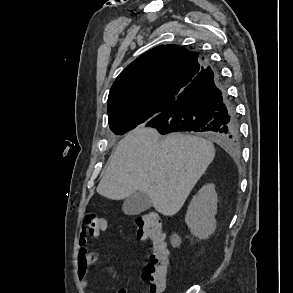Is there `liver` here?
<instances>
[{
  "mask_svg": "<svg viewBox=\"0 0 293 293\" xmlns=\"http://www.w3.org/2000/svg\"><path fill=\"white\" fill-rule=\"evenodd\" d=\"M215 157L213 144L197 136L139 126L117 145L97 192L112 200L146 193L153 207L175 215Z\"/></svg>",
  "mask_w": 293,
  "mask_h": 293,
  "instance_id": "1",
  "label": "liver"
}]
</instances>
